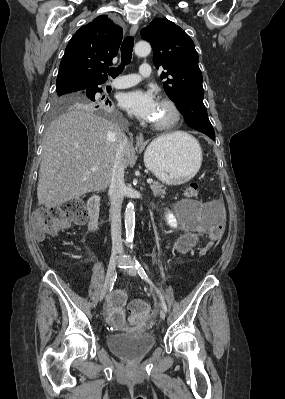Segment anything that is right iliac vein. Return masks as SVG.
I'll list each match as a JSON object with an SVG mask.
<instances>
[{"label":"right iliac vein","mask_w":285,"mask_h":399,"mask_svg":"<svg viewBox=\"0 0 285 399\" xmlns=\"http://www.w3.org/2000/svg\"><path fill=\"white\" fill-rule=\"evenodd\" d=\"M116 255H117V253H113L111 258H110L108 269H107V274H106V277H105L104 286H103V288L100 290V292L98 294L97 302H101L103 300V298H104V296L106 294V291L109 288L111 279H112V277L114 275V268H115V265H116Z\"/></svg>","instance_id":"right-iliac-vein-1"}]
</instances>
